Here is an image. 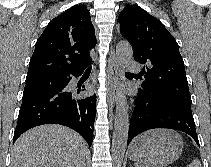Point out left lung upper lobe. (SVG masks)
<instances>
[{
  "mask_svg": "<svg viewBox=\"0 0 211 167\" xmlns=\"http://www.w3.org/2000/svg\"><path fill=\"white\" fill-rule=\"evenodd\" d=\"M118 20L121 34L132 46L134 59L146 65L139 90L191 107L178 44L160 20L137 5H126Z\"/></svg>",
  "mask_w": 211,
  "mask_h": 167,
  "instance_id": "1",
  "label": "left lung upper lobe"
}]
</instances>
